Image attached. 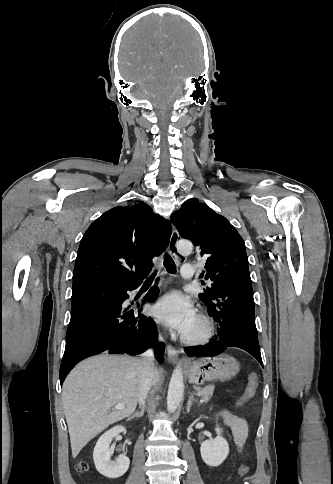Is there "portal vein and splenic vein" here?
Wrapping results in <instances>:
<instances>
[{
	"label": "portal vein and splenic vein",
	"mask_w": 333,
	"mask_h": 484,
	"mask_svg": "<svg viewBox=\"0 0 333 484\" xmlns=\"http://www.w3.org/2000/svg\"><path fill=\"white\" fill-rule=\"evenodd\" d=\"M115 408H116V409H124V408H125V405H124V404L119 403V404L115 405Z\"/></svg>",
	"instance_id": "18ae733b"
}]
</instances>
